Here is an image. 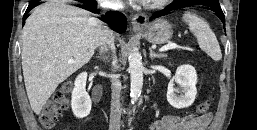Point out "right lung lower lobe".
I'll return each mask as SVG.
<instances>
[{
	"label": "right lung lower lobe",
	"instance_id": "right-lung-lower-lobe-1",
	"mask_svg": "<svg viewBox=\"0 0 257 130\" xmlns=\"http://www.w3.org/2000/svg\"><path fill=\"white\" fill-rule=\"evenodd\" d=\"M37 5H39L38 1L32 0L25 12V15L23 18L26 19V14L33 9L34 7H36ZM90 9H87L93 13H99V11L97 10V5L96 4H92L89 5ZM102 21L108 23L110 25V27L119 32V33H123L126 30V18L125 16L120 13V12H109L106 14V16H103L102 18H100Z\"/></svg>",
	"mask_w": 257,
	"mask_h": 130
}]
</instances>
